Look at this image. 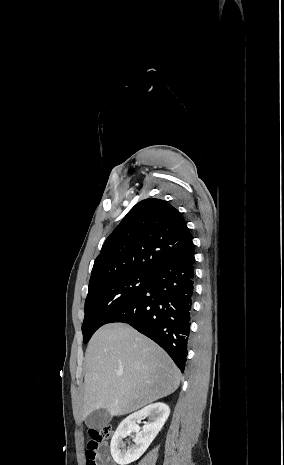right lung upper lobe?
Wrapping results in <instances>:
<instances>
[{
  "label": "right lung upper lobe",
  "mask_w": 284,
  "mask_h": 465,
  "mask_svg": "<svg viewBox=\"0 0 284 465\" xmlns=\"http://www.w3.org/2000/svg\"><path fill=\"white\" fill-rule=\"evenodd\" d=\"M192 244L176 208L160 199L142 200L106 239L94 262L89 287L127 274L153 275Z\"/></svg>",
  "instance_id": "1"
}]
</instances>
